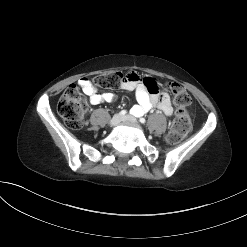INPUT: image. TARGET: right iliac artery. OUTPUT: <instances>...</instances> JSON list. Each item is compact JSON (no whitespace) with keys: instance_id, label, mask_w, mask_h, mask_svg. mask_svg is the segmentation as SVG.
Returning a JSON list of instances; mask_svg holds the SVG:
<instances>
[{"instance_id":"82829eb1","label":"right iliac artery","mask_w":247,"mask_h":247,"mask_svg":"<svg viewBox=\"0 0 247 247\" xmlns=\"http://www.w3.org/2000/svg\"><path fill=\"white\" fill-rule=\"evenodd\" d=\"M126 113H127L126 110H122V111L120 112V115H125Z\"/></svg>"}]
</instances>
